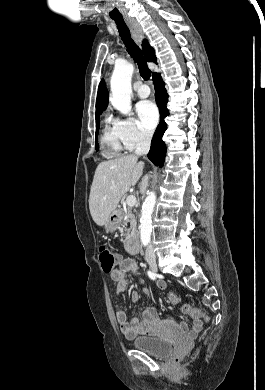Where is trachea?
Segmentation results:
<instances>
[{
  "label": "trachea",
  "mask_w": 265,
  "mask_h": 390,
  "mask_svg": "<svg viewBox=\"0 0 265 390\" xmlns=\"http://www.w3.org/2000/svg\"><path fill=\"white\" fill-rule=\"evenodd\" d=\"M115 21L119 35L125 44V47L130 56L135 60L138 65L141 77L144 80H148L151 76V70L148 68L147 61L144 58L141 49L135 44L131 38L130 31L123 18H113Z\"/></svg>",
  "instance_id": "trachea-1"
}]
</instances>
